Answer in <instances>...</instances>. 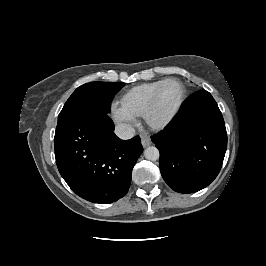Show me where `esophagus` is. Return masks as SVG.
Returning <instances> with one entry per match:
<instances>
[{"label":"esophagus","mask_w":266,"mask_h":266,"mask_svg":"<svg viewBox=\"0 0 266 266\" xmlns=\"http://www.w3.org/2000/svg\"><path fill=\"white\" fill-rule=\"evenodd\" d=\"M141 143H142L143 147H147L151 144V139L149 137H142Z\"/></svg>","instance_id":"obj_1"}]
</instances>
